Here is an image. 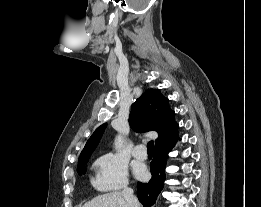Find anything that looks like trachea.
<instances>
[{
	"label": "trachea",
	"mask_w": 261,
	"mask_h": 207,
	"mask_svg": "<svg viewBox=\"0 0 261 207\" xmlns=\"http://www.w3.org/2000/svg\"><path fill=\"white\" fill-rule=\"evenodd\" d=\"M147 149H148V152H151V153L154 151V142L153 141L148 142Z\"/></svg>",
	"instance_id": "3493384b"
}]
</instances>
